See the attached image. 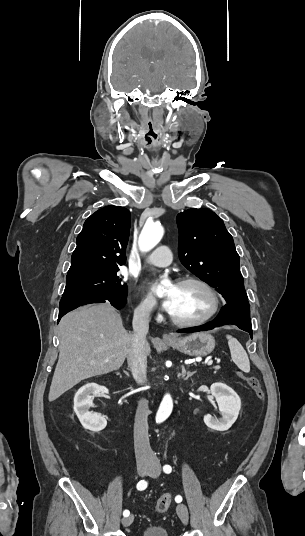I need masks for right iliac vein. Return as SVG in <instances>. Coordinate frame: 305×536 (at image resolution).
Returning <instances> with one entry per match:
<instances>
[{
  "label": "right iliac vein",
  "mask_w": 305,
  "mask_h": 536,
  "mask_svg": "<svg viewBox=\"0 0 305 536\" xmlns=\"http://www.w3.org/2000/svg\"><path fill=\"white\" fill-rule=\"evenodd\" d=\"M149 470H150L149 465L141 464V465L137 466V471H138L139 475H141V476H143ZM133 519H134V516L130 515V516L126 517V518H123L122 523H123L124 526H129L133 522Z\"/></svg>",
  "instance_id": "63e3f726"
}]
</instances>
